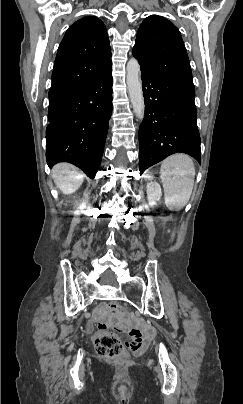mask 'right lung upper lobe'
<instances>
[{
    "instance_id": "obj_1",
    "label": "right lung upper lobe",
    "mask_w": 243,
    "mask_h": 404,
    "mask_svg": "<svg viewBox=\"0 0 243 404\" xmlns=\"http://www.w3.org/2000/svg\"><path fill=\"white\" fill-rule=\"evenodd\" d=\"M111 48L103 22L81 18L66 31L59 45L48 95L86 84L111 70Z\"/></svg>"
}]
</instances>
